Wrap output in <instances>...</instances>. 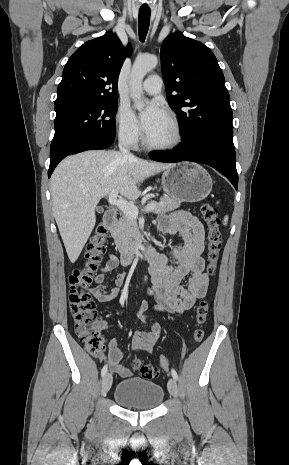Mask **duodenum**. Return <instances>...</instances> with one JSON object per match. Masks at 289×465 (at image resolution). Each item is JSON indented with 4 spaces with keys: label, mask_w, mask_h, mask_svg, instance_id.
I'll use <instances>...</instances> for the list:
<instances>
[{
    "label": "duodenum",
    "mask_w": 289,
    "mask_h": 465,
    "mask_svg": "<svg viewBox=\"0 0 289 465\" xmlns=\"http://www.w3.org/2000/svg\"><path fill=\"white\" fill-rule=\"evenodd\" d=\"M105 227L113 231L117 222V212L115 209H108L104 214ZM160 258V254L152 246L141 248H127L121 253L122 263L124 265L130 264L134 260L146 259L150 263H156Z\"/></svg>",
    "instance_id": "duodenum-1"
}]
</instances>
